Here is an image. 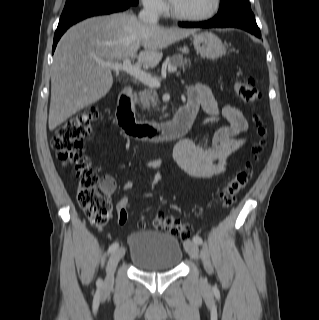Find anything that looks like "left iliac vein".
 <instances>
[{
	"instance_id": "left-iliac-vein-1",
	"label": "left iliac vein",
	"mask_w": 319,
	"mask_h": 320,
	"mask_svg": "<svg viewBox=\"0 0 319 320\" xmlns=\"http://www.w3.org/2000/svg\"><path fill=\"white\" fill-rule=\"evenodd\" d=\"M185 249L188 252V254L195 260H198L199 258V249L198 244L191 240H186L184 243Z\"/></svg>"
}]
</instances>
